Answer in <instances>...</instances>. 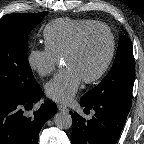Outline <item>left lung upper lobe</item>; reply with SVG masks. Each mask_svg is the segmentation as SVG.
I'll list each match as a JSON object with an SVG mask.
<instances>
[{"label": "left lung upper lobe", "mask_w": 144, "mask_h": 144, "mask_svg": "<svg viewBox=\"0 0 144 144\" xmlns=\"http://www.w3.org/2000/svg\"><path fill=\"white\" fill-rule=\"evenodd\" d=\"M134 77L132 43L127 37L120 35L112 69L95 88L84 94L81 100L90 104L103 99H112L131 105Z\"/></svg>", "instance_id": "obj_1"}]
</instances>
